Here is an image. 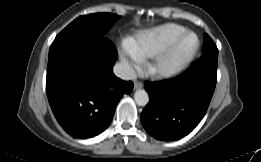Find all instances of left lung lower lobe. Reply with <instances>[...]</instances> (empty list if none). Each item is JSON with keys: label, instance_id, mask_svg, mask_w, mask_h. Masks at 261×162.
Segmentation results:
<instances>
[{"label": "left lung lower lobe", "instance_id": "left-lung-lower-lobe-1", "mask_svg": "<svg viewBox=\"0 0 261 162\" xmlns=\"http://www.w3.org/2000/svg\"><path fill=\"white\" fill-rule=\"evenodd\" d=\"M218 55H203L180 76L145 82L149 103L140 118L144 129L160 141L188 135L203 119L217 81Z\"/></svg>", "mask_w": 261, "mask_h": 162}]
</instances>
